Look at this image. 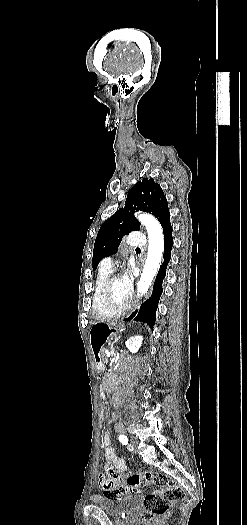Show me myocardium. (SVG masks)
<instances>
[{"mask_svg": "<svg viewBox=\"0 0 247 525\" xmlns=\"http://www.w3.org/2000/svg\"><path fill=\"white\" fill-rule=\"evenodd\" d=\"M116 279V276L114 275H111L109 276L99 287L98 289V293H99V297L101 299V305L103 308L111 311V306H112V299L115 300L116 304L119 305V306H122V307H128L129 306V303L127 301V299H125L124 301H120V300H117L115 298H113L111 295H110V285L111 283L113 282V280Z\"/></svg>", "mask_w": 247, "mask_h": 525, "instance_id": "f54148a6", "label": "myocardium"}]
</instances>
